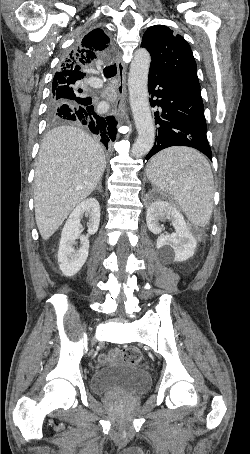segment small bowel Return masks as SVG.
I'll return each mask as SVG.
<instances>
[{"mask_svg":"<svg viewBox=\"0 0 250 454\" xmlns=\"http://www.w3.org/2000/svg\"><path fill=\"white\" fill-rule=\"evenodd\" d=\"M116 355V352H113L111 355H102L100 357L101 362H107L111 357H114Z\"/></svg>","mask_w":250,"mask_h":454,"instance_id":"small-bowel-1","label":"small bowel"}]
</instances>
